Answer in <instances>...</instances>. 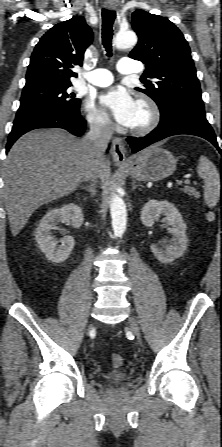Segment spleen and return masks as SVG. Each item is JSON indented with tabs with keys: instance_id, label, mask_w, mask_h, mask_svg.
<instances>
[{
	"instance_id": "spleen-1",
	"label": "spleen",
	"mask_w": 222,
	"mask_h": 447,
	"mask_svg": "<svg viewBox=\"0 0 222 447\" xmlns=\"http://www.w3.org/2000/svg\"><path fill=\"white\" fill-rule=\"evenodd\" d=\"M198 175L204 181V201L207 206H215L220 198V175L216 166L204 155L199 158Z\"/></svg>"
}]
</instances>
